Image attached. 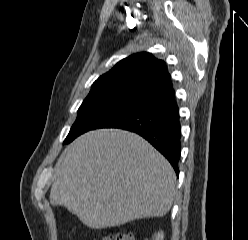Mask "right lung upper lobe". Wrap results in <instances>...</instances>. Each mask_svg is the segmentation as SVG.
<instances>
[{
  "mask_svg": "<svg viewBox=\"0 0 248 240\" xmlns=\"http://www.w3.org/2000/svg\"><path fill=\"white\" fill-rule=\"evenodd\" d=\"M172 89L166 63L144 52L119 61L93 83L91 91L108 90L141 100Z\"/></svg>",
  "mask_w": 248,
  "mask_h": 240,
  "instance_id": "right-lung-upper-lobe-1",
  "label": "right lung upper lobe"
}]
</instances>
